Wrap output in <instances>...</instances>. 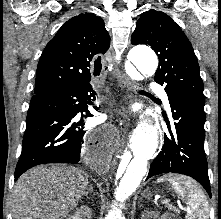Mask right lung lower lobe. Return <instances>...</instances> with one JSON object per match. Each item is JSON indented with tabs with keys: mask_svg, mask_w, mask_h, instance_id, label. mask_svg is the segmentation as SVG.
<instances>
[{
	"mask_svg": "<svg viewBox=\"0 0 221 219\" xmlns=\"http://www.w3.org/2000/svg\"><path fill=\"white\" fill-rule=\"evenodd\" d=\"M91 97L95 98V91L90 83L32 97L15 180L36 165L80 160L86 130L83 121L76 122V116L80 112L92 116L87 110ZM97 143L93 155L100 151Z\"/></svg>",
	"mask_w": 221,
	"mask_h": 219,
	"instance_id": "1",
	"label": "right lung lower lobe"
}]
</instances>
